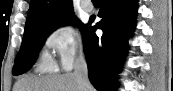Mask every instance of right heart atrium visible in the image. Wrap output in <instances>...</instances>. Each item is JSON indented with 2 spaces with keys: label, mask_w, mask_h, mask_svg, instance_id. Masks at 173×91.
Wrapping results in <instances>:
<instances>
[{
  "label": "right heart atrium",
  "mask_w": 173,
  "mask_h": 91,
  "mask_svg": "<svg viewBox=\"0 0 173 91\" xmlns=\"http://www.w3.org/2000/svg\"><path fill=\"white\" fill-rule=\"evenodd\" d=\"M46 45L55 53L59 67L64 71L73 68L85 48L80 30L71 23H64L54 28L46 38Z\"/></svg>",
  "instance_id": "right-heart-atrium-1"
}]
</instances>
